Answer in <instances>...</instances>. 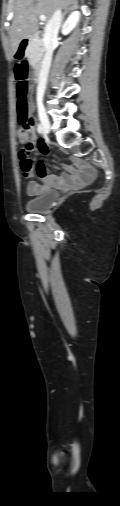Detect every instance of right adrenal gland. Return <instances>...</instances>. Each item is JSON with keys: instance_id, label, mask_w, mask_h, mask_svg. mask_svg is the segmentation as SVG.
I'll return each mask as SVG.
<instances>
[{"instance_id": "2a0ac1e0", "label": "right adrenal gland", "mask_w": 120, "mask_h": 506, "mask_svg": "<svg viewBox=\"0 0 120 506\" xmlns=\"http://www.w3.org/2000/svg\"><path fill=\"white\" fill-rule=\"evenodd\" d=\"M77 7H78L77 3H73V4H71L69 7H67V8L65 9L64 13H63V16H62V22H63V20H64L65 15H66L68 12L75 10Z\"/></svg>"}]
</instances>
